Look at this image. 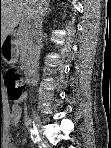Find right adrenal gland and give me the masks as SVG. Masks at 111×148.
Masks as SVG:
<instances>
[{"label": "right adrenal gland", "instance_id": "2a0ac1e0", "mask_svg": "<svg viewBox=\"0 0 111 148\" xmlns=\"http://www.w3.org/2000/svg\"><path fill=\"white\" fill-rule=\"evenodd\" d=\"M50 12H51V9L48 8V6H47L46 11L44 12V16L43 17H45L46 15H48Z\"/></svg>", "mask_w": 111, "mask_h": 148}]
</instances>
